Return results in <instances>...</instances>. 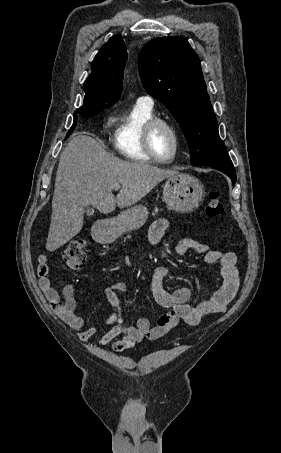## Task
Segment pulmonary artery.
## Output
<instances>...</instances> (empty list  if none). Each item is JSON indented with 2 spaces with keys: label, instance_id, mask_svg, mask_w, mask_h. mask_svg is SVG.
I'll list each match as a JSON object with an SVG mask.
<instances>
[{
  "label": "pulmonary artery",
  "instance_id": "e3ab8cb5",
  "mask_svg": "<svg viewBox=\"0 0 281 453\" xmlns=\"http://www.w3.org/2000/svg\"><path fill=\"white\" fill-rule=\"evenodd\" d=\"M141 99H147V98H145V97H142Z\"/></svg>",
  "mask_w": 281,
  "mask_h": 453
}]
</instances>
